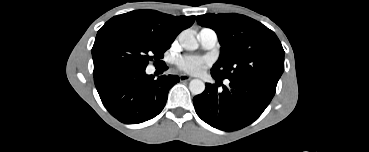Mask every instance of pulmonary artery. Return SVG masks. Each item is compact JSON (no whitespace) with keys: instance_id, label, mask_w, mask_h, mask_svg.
I'll return each instance as SVG.
<instances>
[{"instance_id":"obj_1","label":"pulmonary artery","mask_w":369,"mask_h":152,"mask_svg":"<svg viewBox=\"0 0 369 152\" xmlns=\"http://www.w3.org/2000/svg\"><path fill=\"white\" fill-rule=\"evenodd\" d=\"M197 38L202 47L206 49L213 48L218 41L217 33L211 28H202L199 31Z\"/></svg>"}]
</instances>
